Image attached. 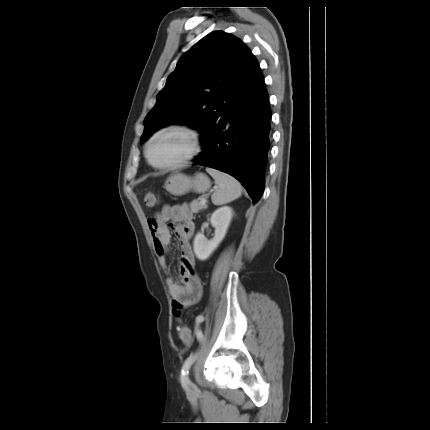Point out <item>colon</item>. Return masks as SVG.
I'll return each instance as SVG.
<instances>
[{
    "instance_id": "5ec220e1",
    "label": "colon",
    "mask_w": 430,
    "mask_h": 430,
    "mask_svg": "<svg viewBox=\"0 0 430 430\" xmlns=\"http://www.w3.org/2000/svg\"><path fill=\"white\" fill-rule=\"evenodd\" d=\"M158 202V196L155 193L149 192L145 195V204L148 207H154L156 203ZM199 330V325H196L195 332ZM180 340L183 344L189 346L193 342V334L192 331L189 328H183L180 333Z\"/></svg>"
}]
</instances>
